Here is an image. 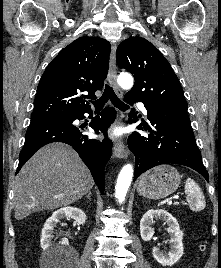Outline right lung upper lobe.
Here are the masks:
<instances>
[{
    "instance_id": "1",
    "label": "right lung upper lobe",
    "mask_w": 221,
    "mask_h": 268,
    "mask_svg": "<svg viewBox=\"0 0 221 268\" xmlns=\"http://www.w3.org/2000/svg\"><path fill=\"white\" fill-rule=\"evenodd\" d=\"M110 51V43L98 37H80L60 51L40 79L31 121L90 110L85 98L95 99L103 87Z\"/></svg>"
}]
</instances>
